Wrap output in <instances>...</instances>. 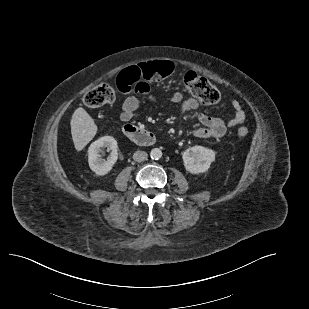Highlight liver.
<instances>
[{
	"label": "liver",
	"mask_w": 309,
	"mask_h": 309,
	"mask_svg": "<svg viewBox=\"0 0 309 309\" xmlns=\"http://www.w3.org/2000/svg\"><path fill=\"white\" fill-rule=\"evenodd\" d=\"M70 125L75 149L81 151L96 135L97 125L82 107L74 111Z\"/></svg>",
	"instance_id": "liver-1"
}]
</instances>
